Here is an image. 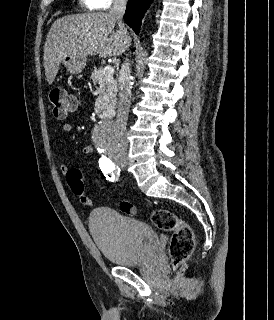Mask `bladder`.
I'll use <instances>...</instances> for the list:
<instances>
[{
    "instance_id": "obj_1",
    "label": "bladder",
    "mask_w": 274,
    "mask_h": 320,
    "mask_svg": "<svg viewBox=\"0 0 274 320\" xmlns=\"http://www.w3.org/2000/svg\"><path fill=\"white\" fill-rule=\"evenodd\" d=\"M88 228L102 256L118 266L142 265L158 250L159 237L152 227L112 208L95 209Z\"/></svg>"
}]
</instances>
